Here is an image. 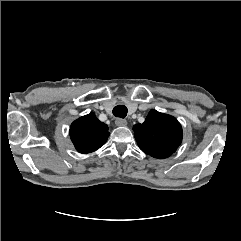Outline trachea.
Wrapping results in <instances>:
<instances>
[{"label": "trachea", "mask_w": 241, "mask_h": 241, "mask_svg": "<svg viewBox=\"0 0 241 241\" xmlns=\"http://www.w3.org/2000/svg\"><path fill=\"white\" fill-rule=\"evenodd\" d=\"M127 107L124 105H118L113 108V115L119 118H125L127 115Z\"/></svg>", "instance_id": "trachea-1"}]
</instances>
